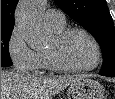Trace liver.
I'll return each instance as SVG.
<instances>
[{
	"instance_id": "liver-1",
	"label": "liver",
	"mask_w": 115,
	"mask_h": 99,
	"mask_svg": "<svg viewBox=\"0 0 115 99\" xmlns=\"http://www.w3.org/2000/svg\"><path fill=\"white\" fill-rule=\"evenodd\" d=\"M82 77H45L1 70V99H53Z\"/></svg>"
}]
</instances>
